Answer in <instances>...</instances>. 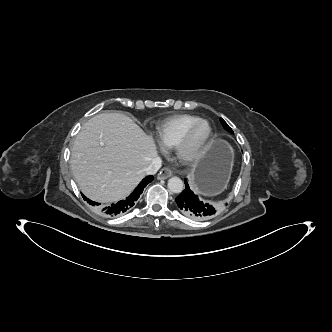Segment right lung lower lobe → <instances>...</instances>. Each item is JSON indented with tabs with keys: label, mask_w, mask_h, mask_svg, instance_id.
Segmentation results:
<instances>
[{
	"label": "right lung lower lobe",
	"mask_w": 332,
	"mask_h": 332,
	"mask_svg": "<svg viewBox=\"0 0 332 332\" xmlns=\"http://www.w3.org/2000/svg\"><path fill=\"white\" fill-rule=\"evenodd\" d=\"M152 181H153V176L150 175V176L145 177L140 182V184L135 188V190L125 200L119 201L116 204L105 206L102 210L104 211V213L111 215V216L122 214V213L126 212L131 207H133V205L135 204L137 199L140 197V194L143 192L144 187H146V185ZM82 197L89 204L99 205L98 203L86 198L83 194H82Z\"/></svg>",
	"instance_id": "98d812e1"
}]
</instances>
